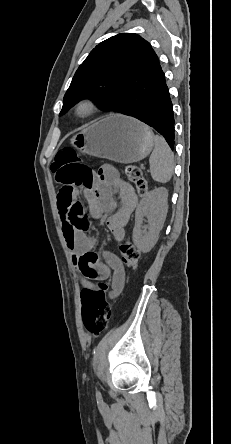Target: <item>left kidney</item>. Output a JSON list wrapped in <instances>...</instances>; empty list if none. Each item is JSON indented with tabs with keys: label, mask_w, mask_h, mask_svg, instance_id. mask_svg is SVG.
Wrapping results in <instances>:
<instances>
[{
	"label": "left kidney",
	"mask_w": 231,
	"mask_h": 444,
	"mask_svg": "<svg viewBox=\"0 0 231 444\" xmlns=\"http://www.w3.org/2000/svg\"><path fill=\"white\" fill-rule=\"evenodd\" d=\"M168 191L155 188L139 202L135 213L133 242L143 253L149 252L157 243L168 211ZM144 216L148 219V232L142 230Z\"/></svg>",
	"instance_id": "left-kidney-1"
}]
</instances>
